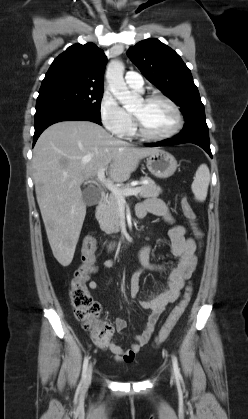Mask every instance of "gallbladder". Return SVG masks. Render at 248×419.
<instances>
[{
    "label": "gallbladder",
    "instance_id": "bac80fb5",
    "mask_svg": "<svg viewBox=\"0 0 248 419\" xmlns=\"http://www.w3.org/2000/svg\"><path fill=\"white\" fill-rule=\"evenodd\" d=\"M100 198V192L96 188H88L83 191V201L87 206L96 205Z\"/></svg>",
    "mask_w": 248,
    "mask_h": 419
}]
</instances>
